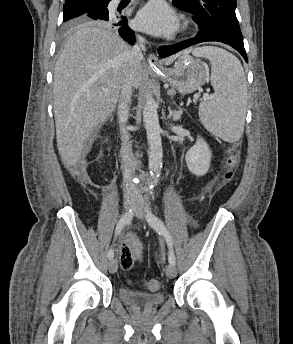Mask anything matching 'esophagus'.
Listing matches in <instances>:
<instances>
[{
    "mask_svg": "<svg viewBox=\"0 0 293 344\" xmlns=\"http://www.w3.org/2000/svg\"><path fill=\"white\" fill-rule=\"evenodd\" d=\"M148 64L151 67L159 68L161 67V64L157 58V56L153 53H151L148 57Z\"/></svg>",
    "mask_w": 293,
    "mask_h": 344,
    "instance_id": "1",
    "label": "esophagus"
}]
</instances>
